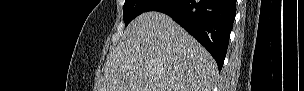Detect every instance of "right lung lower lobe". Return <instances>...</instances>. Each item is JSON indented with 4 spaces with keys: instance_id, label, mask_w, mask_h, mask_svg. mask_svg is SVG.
Wrapping results in <instances>:
<instances>
[{
    "instance_id": "obj_1",
    "label": "right lung lower lobe",
    "mask_w": 304,
    "mask_h": 91,
    "mask_svg": "<svg viewBox=\"0 0 304 91\" xmlns=\"http://www.w3.org/2000/svg\"><path fill=\"white\" fill-rule=\"evenodd\" d=\"M147 11L167 14L197 39L222 69L236 15V0H154Z\"/></svg>"
}]
</instances>
